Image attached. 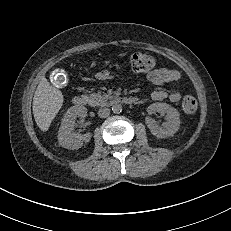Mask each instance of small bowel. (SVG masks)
<instances>
[{
    "label": "small bowel",
    "mask_w": 231,
    "mask_h": 231,
    "mask_svg": "<svg viewBox=\"0 0 231 231\" xmlns=\"http://www.w3.org/2000/svg\"><path fill=\"white\" fill-rule=\"evenodd\" d=\"M95 79L107 80L113 78V74L108 70H101L94 75ZM147 79L150 83L157 86L162 85H176L180 79L181 74L177 70L168 68H156L148 73ZM182 94L178 90L167 92L165 90H155L151 93V98L156 101L169 99L171 102L176 103L180 101Z\"/></svg>",
    "instance_id": "obj_1"
}]
</instances>
